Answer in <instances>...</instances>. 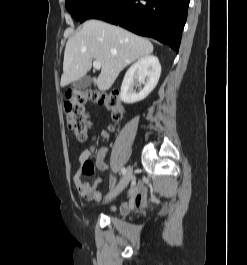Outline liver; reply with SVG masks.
I'll return each mask as SVG.
<instances>
[{
  "label": "liver",
  "mask_w": 247,
  "mask_h": 265,
  "mask_svg": "<svg viewBox=\"0 0 247 265\" xmlns=\"http://www.w3.org/2000/svg\"><path fill=\"white\" fill-rule=\"evenodd\" d=\"M153 49L149 40L125 29L88 20L66 43L61 87L84 77L94 59L101 63V72L98 78H93V83L99 90L106 91L125 67L150 55Z\"/></svg>",
  "instance_id": "6515ba94"
}]
</instances>
